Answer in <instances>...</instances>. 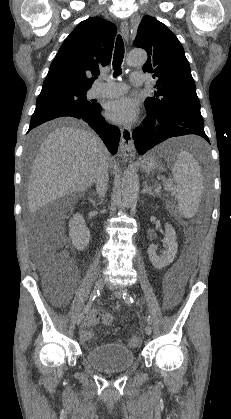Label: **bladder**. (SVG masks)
I'll return each instance as SVG.
<instances>
[{
  "label": "bladder",
  "instance_id": "obj_1",
  "mask_svg": "<svg viewBox=\"0 0 231 419\" xmlns=\"http://www.w3.org/2000/svg\"><path fill=\"white\" fill-rule=\"evenodd\" d=\"M85 359L89 366L100 372H123L136 358L131 349L120 343H103L87 350Z\"/></svg>",
  "mask_w": 231,
  "mask_h": 419
}]
</instances>
